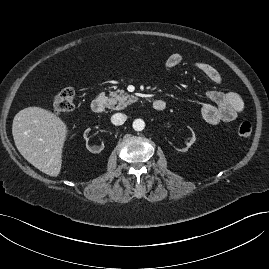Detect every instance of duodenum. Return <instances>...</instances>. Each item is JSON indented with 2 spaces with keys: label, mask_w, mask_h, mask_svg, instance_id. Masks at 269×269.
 I'll list each match as a JSON object with an SVG mask.
<instances>
[{
  "label": "duodenum",
  "mask_w": 269,
  "mask_h": 269,
  "mask_svg": "<svg viewBox=\"0 0 269 269\" xmlns=\"http://www.w3.org/2000/svg\"><path fill=\"white\" fill-rule=\"evenodd\" d=\"M106 105V98L104 96L96 97L91 103V109L94 113H101ZM156 112H162L166 108V101L164 99H157L152 104Z\"/></svg>",
  "instance_id": "1"
}]
</instances>
